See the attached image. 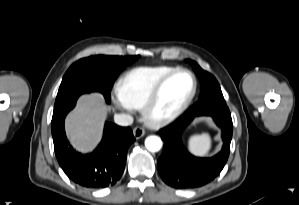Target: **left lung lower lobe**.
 Masks as SVG:
<instances>
[{
    "label": "left lung lower lobe",
    "instance_id": "1",
    "mask_svg": "<svg viewBox=\"0 0 299 205\" xmlns=\"http://www.w3.org/2000/svg\"><path fill=\"white\" fill-rule=\"evenodd\" d=\"M211 116L222 129L223 146L211 158L191 155L181 141L182 130L197 116ZM233 124L229 108L215 105L199 110L191 107L174 123L160 130L164 151L158 159V171L163 181L178 189L197 188L212 181L227 162L232 139Z\"/></svg>",
    "mask_w": 299,
    "mask_h": 205
}]
</instances>
